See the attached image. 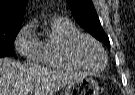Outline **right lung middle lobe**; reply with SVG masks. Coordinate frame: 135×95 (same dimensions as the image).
Returning a JSON list of instances; mask_svg holds the SVG:
<instances>
[{"label": "right lung middle lobe", "mask_w": 135, "mask_h": 95, "mask_svg": "<svg viewBox=\"0 0 135 95\" xmlns=\"http://www.w3.org/2000/svg\"><path fill=\"white\" fill-rule=\"evenodd\" d=\"M19 31L0 35V57L15 56L13 43Z\"/></svg>", "instance_id": "dd1d6c3e"}]
</instances>
